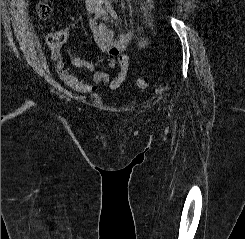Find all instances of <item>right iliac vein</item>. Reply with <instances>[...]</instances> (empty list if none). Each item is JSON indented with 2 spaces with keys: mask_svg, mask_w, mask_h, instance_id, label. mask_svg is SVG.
<instances>
[{
  "mask_svg": "<svg viewBox=\"0 0 245 239\" xmlns=\"http://www.w3.org/2000/svg\"><path fill=\"white\" fill-rule=\"evenodd\" d=\"M87 11H88V13H93L95 11L94 5H88L87 6Z\"/></svg>",
  "mask_w": 245,
  "mask_h": 239,
  "instance_id": "right-iliac-vein-1",
  "label": "right iliac vein"
}]
</instances>
